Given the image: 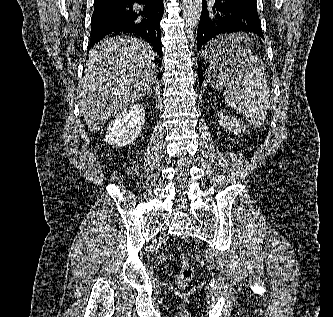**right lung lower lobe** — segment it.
<instances>
[{
	"mask_svg": "<svg viewBox=\"0 0 333 317\" xmlns=\"http://www.w3.org/2000/svg\"><path fill=\"white\" fill-rule=\"evenodd\" d=\"M134 3L143 4L141 10ZM91 18V48L110 34L130 33L145 39L162 57L160 21L164 12L163 0H117L94 3Z\"/></svg>",
	"mask_w": 333,
	"mask_h": 317,
	"instance_id": "right-lung-lower-lobe-1",
	"label": "right lung lower lobe"
}]
</instances>
